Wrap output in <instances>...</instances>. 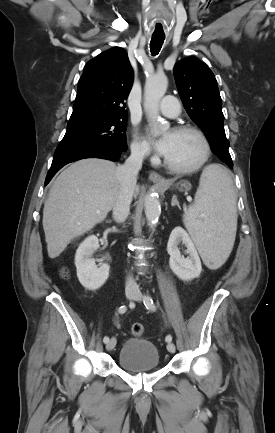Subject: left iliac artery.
<instances>
[{
	"label": "left iliac artery",
	"mask_w": 275,
	"mask_h": 433,
	"mask_svg": "<svg viewBox=\"0 0 275 433\" xmlns=\"http://www.w3.org/2000/svg\"><path fill=\"white\" fill-rule=\"evenodd\" d=\"M144 305L149 310L155 311V309H156L152 298L150 296H148V295L144 297ZM166 341L167 342H171L172 341L171 335H167L166 336Z\"/></svg>",
	"instance_id": "obj_1"
}]
</instances>
